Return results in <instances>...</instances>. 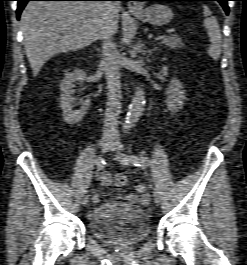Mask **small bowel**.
Returning a JSON list of instances; mask_svg holds the SVG:
<instances>
[{
    "label": "small bowel",
    "mask_w": 247,
    "mask_h": 265,
    "mask_svg": "<svg viewBox=\"0 0 247 265\" xmlns=\"http://www.w3.org/2000/svg\"><path fill=\"white\" fill-rule=\"evenodd\" d=\"M98 179L103 187H107L112 183V177L107 171H102L98 175ZM120 198L133 203L147 205L151 201V196L147 193V186L145 184H138L129 195H119Z\"/></svg>",
    "instance_id": "c3829d8e"
}]
</instances>
